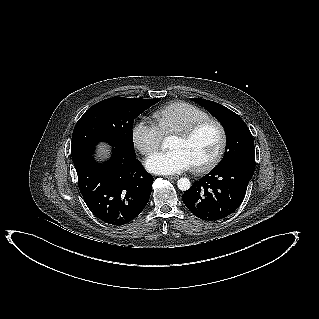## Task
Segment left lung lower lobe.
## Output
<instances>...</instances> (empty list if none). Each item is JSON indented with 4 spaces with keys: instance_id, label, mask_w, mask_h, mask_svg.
I'll return each mask as SVG.
<instances>
[{
    "instance_id": "0a47b994",
    "label": "left lung lower lobe",
    "mask_w": 319,
    "mask_h": 319,
    "mask_svg": "<svg viewBox=\"0 0 319 319\" xmlns=\"http://www.w3.org/2000/svg\"><path fill=\"white\" fill-rule=\"evenodd\" d=\"M255 167L232 163L214 168L184 192L183 202L198 218L217 221L241 205Z\"/></svg>"
}]
</instances>
